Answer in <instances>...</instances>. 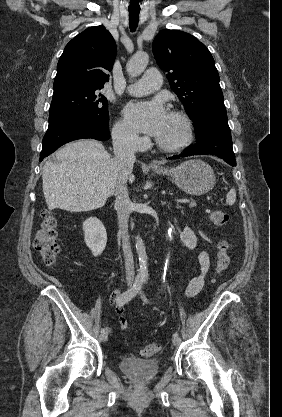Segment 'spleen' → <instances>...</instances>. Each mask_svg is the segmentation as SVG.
I'll list each match as a JSON object with an SVG mask.
<instances>
[{
  "label": "spleen",
  "instance_id": "obj_1",
  "mask_svg": "<svg viewBox=\"0 0 282 417\" xmlns=\"http://www.w3.org/2000/svg\"><path fill=\"white\" fill-rule=\"evenodd\" d=\"M236 200V190L235 188H230L228 194H226V202L227 204H234Z\"/></svg>",
  "mask_w": 282,
  "mask_h": 417
}]
</instances>
